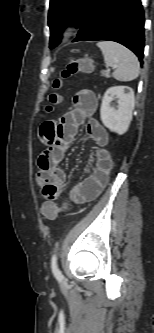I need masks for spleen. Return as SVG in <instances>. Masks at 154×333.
I'll return each mask as SVG.
<instances>
[{"instance_id":"3e777b00","label":"spleen","mask_w":154,"mask_h":333,"mask_svg":"<svg viewBox=\"0 0 154 333\" xmlns=\"http://www.w3.org/2000/svg\"><path fill=\"white\" fill-rule=\"evenodd\" d=\"M101 49L107 66L115 67L113 77L119 81H132L139 76L138 58L129 49L115 42L100 41Z\"/></svg>"}]
</instances>
